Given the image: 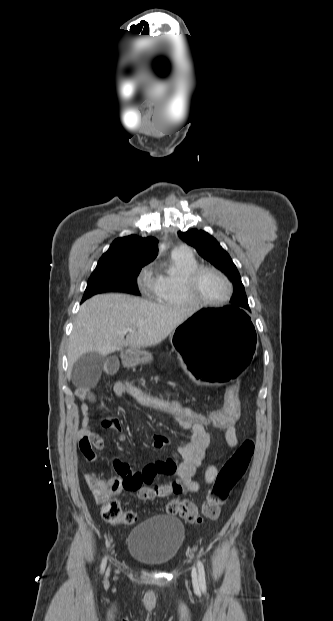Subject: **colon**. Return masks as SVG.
Masks as SVG:
<instances>
[{
  "label": "colon",
  "instance_id": "colon-1",
  "mask_svg": "<svg viewBox=\"0 0 333 621\" xmlns=\"http://www.w3.org/2000/svg\"><path fill=\"white\" fill-rule=\"evenodd\" d=\"M123 395L130 397L138 406L152 412L165 415L179 424H201L214 428H226L235 424L240 416L239 383H230L225 391L223 404L215 409L203 410L191 407L167 395L156 394L143 390L133 382L121 379L115 383ZM254 443L245 440L218 472L213 486L202 504L201 513L197 506L189 500L173 499L165 505V512L178 515L186 522L199 525L203 518L217 519L230 493L245 475L252 456ZM119 477L104 479L94 472L85 475L95 501L101 505L102 518L111 524H133L137 514L133 511H122L114 495L121 489L132 491L137 486V479L125 468H118Z\"/></svg>",
  "mask_w": 333,
  "mask_h": 621
}]
</instances>
